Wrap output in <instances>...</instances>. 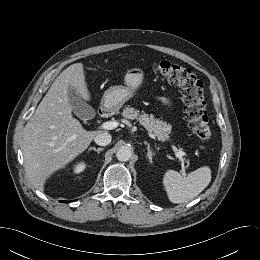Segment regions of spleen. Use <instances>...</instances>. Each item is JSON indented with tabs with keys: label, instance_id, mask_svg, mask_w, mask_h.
Returning a JSON list of instances; mask_svg holds the SVG:
<instances>
[{
	"label": "spleen",
	"instance_id": "1",
	"mask_svg": "<svg viewBox=\"0 0 260 260\" xmlns=\"http://www.w3.org/2000/svg\"><path fill=\"white\" fill-rule=\"evenodd\" d=\"M211 181V169L203 166L182 176L177 171L168 170L163 177V185L172 203H184L200 194Z\"/></svg>",
	"mask_w": 260,
	"mask_h": 260
}]
</instances>
